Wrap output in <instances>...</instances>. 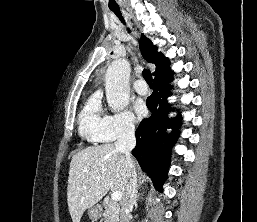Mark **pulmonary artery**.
<instances>
[{
  "mask_svg": "<svg viewBox=\"0 0 257 222\" xmlns=\"http://www.w3.org/2000/svg\"><path fill=\"white\" fill-rule=\"evenodd\" d=\"M134 88L138 94L146 95L148 93V87L143 80H138L134 83Z\"/></svg>",
  "mask_w": 257,
  "mask_h": 222,
  "instance_id": "pulmonary-artery-1",
  "label": "pulmonary artery"
}]
</instances>
